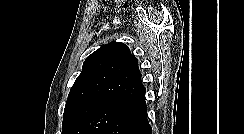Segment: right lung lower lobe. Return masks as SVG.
Listing matches in <instances>:
<instances>
[{"label":"right lung lower lobe","mask_w":244,"mask_h":134,"mask_svg":"<svg viewBox=\"0 0 244 134\" xmlns=\"http://www.w3.org/2000/svg\"><path fill=\"white\" fill-rule=\"evenodd\" d=\"M103 134H152L145 95L134 100Z\"/></svg>","instance_id":"98d812e1"}]
</instances>
